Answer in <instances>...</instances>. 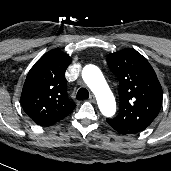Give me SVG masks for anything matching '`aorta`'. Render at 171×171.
<instances>
[{
	"instance_id": "762f6f07",
	"label": "aorta",
	"mask_w": 171,
	"mask_h": 171,
	"mask_svg": "<svg viewBox=\"0 0 171 171\" xmlns=\"http://www.w3.org/2000/svg\"><path fill=\"white\" fill-rule=\"evenodd\" d=\"M82 78L95 94L101 113L111 117L116 112V102L101 70L95 65H86L82 70Z\"/></svg>"
}]
</instances>
